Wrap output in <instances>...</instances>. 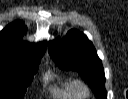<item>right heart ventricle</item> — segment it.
Here are the masks:
<instances>
[{
  "label": "right heart ventricle",
  "instance_id": "e07e8e85",
  "mask_svg": "<svg viewBox=\"0 0 128 99\" xmlns=\"http://www.w3.org/2000/svg\"><path fill=\"white\" fill-rule=\"evenodd\" d=\"M52 94L58 98L74 99L79 98L73 88V81L61 83L59 86L52 88Z\"/></svg>",
  "mask_w": 128,
  "mask_h": 99
}]
</instances>
